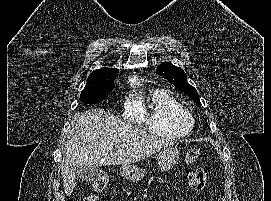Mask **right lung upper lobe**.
Listing matches in <instances>:
<instances>
[{"mask_svg": "<svg viewBox=\"0 0 271 201\" xmlns=\"http://www.w3.org/2000/svg\"><path fill=\"white\" fill-rule=\"evenodd\" d=\"M118 70L115 68H101L93 71L88 79L90 78H95V77H103V76H112V75H117Z\"/></svg>", "mask_w": 271, "mask_h": 201, "instance_id": "right-lung-upper-lobe-1", "label": "right lung upper lobe"}]
</instances>
